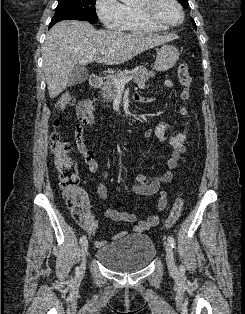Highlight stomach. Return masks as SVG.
Returning <instances> with one entry per match:
<instances>
[{
    "label": "stomach",
    "instance_id": "stomach-1",
    "mask_svg": "<svg viewBox=\"0 0 245 314\" xmlns=\"http://www.w3.org/2000/svg\"><path fill=\"white\" fill-rule=\"evenodd\" d=\"M179 52L172 45H163L157 52L154 68L159 72L168 71L178 61Z\"/></svg>",
    "mask_w": 245,
    "mask_h": 314
}]
</instances>
